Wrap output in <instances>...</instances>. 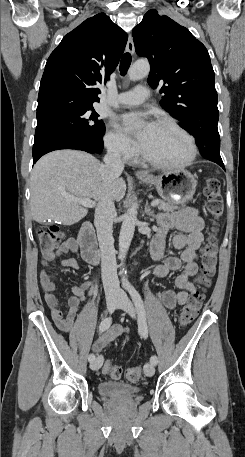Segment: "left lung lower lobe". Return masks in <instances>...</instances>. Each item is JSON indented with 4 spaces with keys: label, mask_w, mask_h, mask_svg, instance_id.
<instances>
[{
    "label": "left lung lower lobe",
    "mask_w": 245,
    "mask_h": 457,
    "mask_svg": "<svg viewBox=\"0 0 245 457\" xmlns=\"http://www.w3.org/2000/svg\"><path fill=\"white\" fill-rule=\"evenodd\" d=\"M217 122L205 118L199 121V126H190L184 129L195 137L203 158L215 162L225 169L219 152L220 137Z\"/></svg>",
    "instance_id": "left-lung-lower-lobe-1"
}]
</instances>
